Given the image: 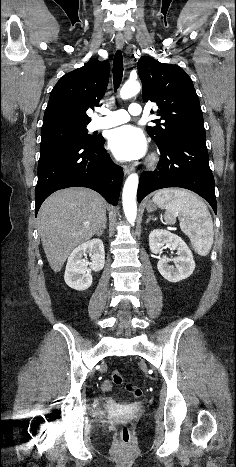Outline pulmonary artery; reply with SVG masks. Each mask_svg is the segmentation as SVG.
<instances>
[{
  "mask_svg": "<svg viewBox=\"0 0 236 467\" xmlns=\"http://www.w3.org/2000/svg\"><path fill=\"white\" fill-rule=\"evenodd\" d=\"M142 114V108L138 103L130 105L129 110L119 109L116 111H102V116L95 118L91 122L93 130L110 128L129 121L130 115L138 116Z\"/></svg>",
  "mask_w": 236,
  "mask_h": 467,
  "instance_id": "e3ab8cb5",
  "label": "pulmonary artery"
}]
</instances>
